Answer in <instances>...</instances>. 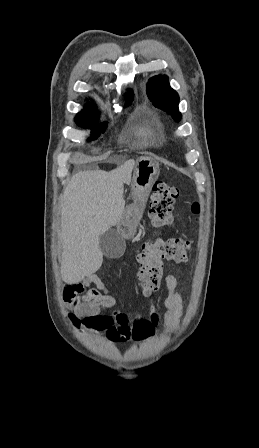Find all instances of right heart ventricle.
<instances>
[{"label": "right heart ventricle", "mask_w": 259, "mask_h": 448, "mask_svg": "<svg viewBox=\"0 0 259 448\" xmlns=\"http://www.w3.org/2000/svg\"><path fill=\"white\" fill-rule=\"evenodd\" d=\"M141 136L145 139L151 138L153 136V133L149 130H142L140 132Z\"/></svg>", "instance_id": "obj_1"}]
</instances>
